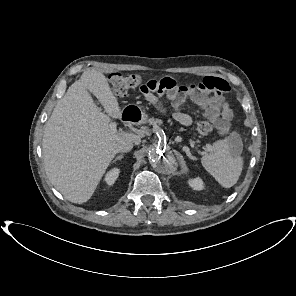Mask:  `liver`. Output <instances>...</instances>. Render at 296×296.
<instances>
[{
    "instance_id": "obj_1",
    "label": "liver",
    "mask_w": 296,
    "mask_h": 296,
    "mask_svg": "<svg viewBox=\"0 0 296 296\" xmlns=\"http://www.w3.org/2000/svg\"><path fill=\"white\" fill-rule=\"evenodd\" d=\"M90 93L108 115L96 106ZM109 116L120 118L118 101L105 75L88 68L58 101L45 125L42 151L46 174L72 203L91 198L116 154L117 141L140 142L132 133L111 130Z\"/></svg>"
}]
</instances>
